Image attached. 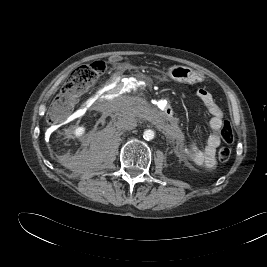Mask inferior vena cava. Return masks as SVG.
<instances>
[{"mask_svg": "<svg viewBox=\"0 0 267 267\" xmlns=\"http://www.w3.org/2000/svg\"><path fill=\"white\" fill-rule=\"evenodd\" d=\"M116 126L121 130H132L137 126V121L133 117L123 116L118 119Z\"/></svg>", "mask_w": 267, "mask_h": 267, "instance_id": "inferior-vena-cava-1", "label": "inferior vena cava"}]
</instances>
